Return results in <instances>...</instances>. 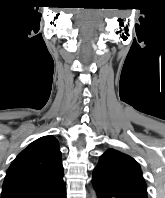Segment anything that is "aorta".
<instances>
[{
	"mask_svg": "<svg viewBox=\"0 0 165 198\" xmlns=\"http://www.w3.org/2000/svg\"><path fill=\"white\" fill-rule=\"evenodd\" d=\"M93 198H96V195H95V193L93 194Z\"/></svg>",
	"mask_w": 165,
	"mask_h": 198,
	"instance_id": "762f6f07",
	"label": "aorta"
}]
</instances>
